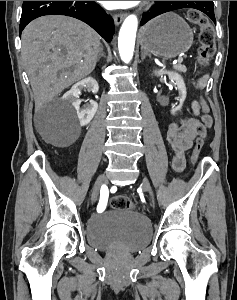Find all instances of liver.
I'll return each mask as SVG.
<instances>
[{
	"instance_id": "obj_1",
	"label": "liver",
	"mask_w": 237,
	"mask_h": 300,
	"mask_svg": "<svg viewBox=\"0 0 237 300\" xmlns=\"http://www.w3.org/2000/svg\"><path fill=\"white\" fill-rule=\"evenodd\" d=\"M21 41L36 103L90 75L101 45L99 35L88 25L62 15L35 19L25 27Z\"/></svg>"
}]
</instances>
